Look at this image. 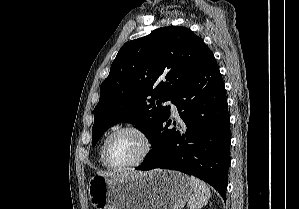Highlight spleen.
Masks as SVG:
<instances>
[{
	"label": "spleen",
	"mask_w": 299,
	"mask_h": 209,
	"mask_svg": "<svg viewBox=\"0 0 299 209\" xmlns=\"http://www.w3.org/2000/svg\"><path fill=\"white\" fill-rule=\"evenodd\" d=\"M189 179L194 193L190 196L188 208L201 209L207 204L211 196L210 189L203 181L194 176H191Z\"/></svg>",
	"instance_id": "1"
}]
</instances>
